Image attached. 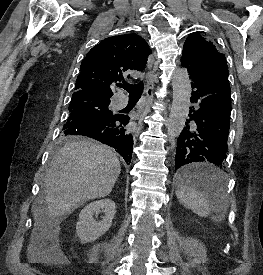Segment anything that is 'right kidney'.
I'll list each match as a JSON object with an SVG mask.
<instances>
[{"label":"right kidney","instance_id":"right-kidney-1","mask_svg":"<svg viewBox=\"0 0 263 275\" xmlns=\"http://www.w3.org/2000/svg\"><path fill=\"white\" fill-rule=\"evenodd\" d=\"M102 210L105 215L96 221L93 215ZM116 213L115 203L111 199H103L89 203L79 214L76 224V235L82 243L93 242L105 234L112 225Z\"/></svg>","mask_w":263,"mask_h":275}]
</instances>
